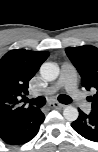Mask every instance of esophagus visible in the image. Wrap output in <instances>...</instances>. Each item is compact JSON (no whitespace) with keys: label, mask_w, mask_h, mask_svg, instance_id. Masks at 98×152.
<instances>
[{"label":"esophagus","mask_w":98,"mask_h":152,"mask_svg":"<svg viewBox=\"0 0 98 152\" xmlns=\"http://www.w3.org/2000/svg\"><path fill=\"white\" fill-rule=\"evenodd\" d=\"M48 106L50 108H54V109H62V108L65 107L64 104H61V103H58V102H51V103L48 104Z\"/></svg>","instance_id":"esophagus-1"}]
</instances>
